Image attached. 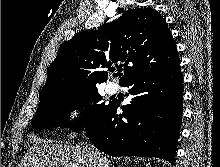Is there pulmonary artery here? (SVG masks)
<instances>
[{"label": "pulmonary artery", "instance_id": "pulmonary-artery-1", "mask_svg": "<svg viewBox=\"0 0 220 167\" xmlns=\"http://www.w3.org/2000/svg\"><path fill=\"white\" fill-rule=\"evenodd\" d=\"M106 90L109 94H113L116 91V87L114 84H107Z\"/></svg>", "mask_w": 220, "mask_h": 167}]
</instances>
